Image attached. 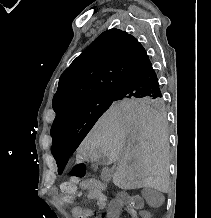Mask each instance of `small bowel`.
<instances>
[{
  "mask_svg": "<svg viewBox=\"0 0 211 218\" xmlns=\"http://www.w3.org/2000/svg\"><path fill=\"white\" fill-rule=\"evenodd\" d=\"M80 188L83 192L86 193L88 199L94 202L98 209H103L106 205V197L103 193L104 186L103 183L96 179H86L81 182ZM51 194L54 196H58V191L56 188L51 189ZM126 215L129 218H147L148 213L142 211L138 208H126ZM120 209H116L112 215H117V213L121 214ZM75 218H89L92 215V211L90 209H81L75 208L74 211Z\"/></svg>",
  "mask_w": 211,
  "mask_h": 218,
  "instance_id": "1",
  "label": "small bowel"
}]
</instances>
